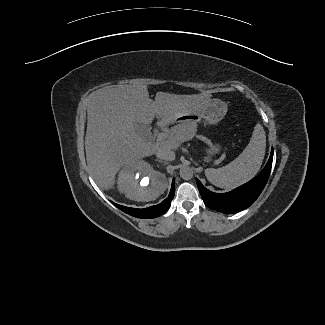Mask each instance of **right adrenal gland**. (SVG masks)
Wrapping results in <instances>:
<instances>
[{
	"label": "right adrenal gland",
	"mask_w": 325,
	"mask_h": 325,
	"mask_svg": "<svg viewBox=\"0 0 325 325\" xmlns=\"http://www.w3.org/2000/svg\"><path fill=\"white\" fill-rule=\"evenodd\" d=\"M155 161H158V162H160V163H163L164 165L167 164V162H165V161H163V160H160V159H156Z\"/></svg>",
	"instance_id": "1"
}]
</instances>
